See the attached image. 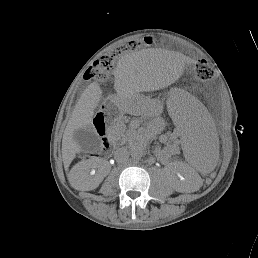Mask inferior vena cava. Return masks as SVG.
<instances>
[{
    "mask_svg": "<svg viewBox=\"0 0 258 258\" xmlns=\"http://www.w3.org/2000/svg\"><path fill=\"white\" fill-rule=\"evenodd\" d=\"M128 157L129 153L125 149L120 148L115 152V159L118 163H125Z\"/></svg>",
    "mask_w": 258,
    "mask_h": 258,
    "instance_id": "602c4592",
    "label": "inferior vena cava"
}]
</instances>
